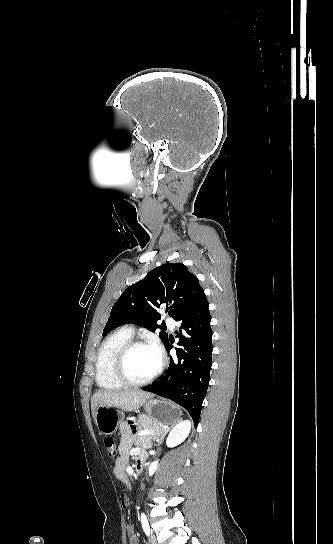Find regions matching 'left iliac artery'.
Returning a JSON list of instances; mask_svg holds the SVG:
<instances>
[{
    "mask_svg": "<svg viewBox=\"0 0 333 544\" xmlns=\"http://www.w3.org/2000/svg\"><path fill=\"white\" fill-rule=\"evenodd\" d=\"M141 524H142V528H143L145 534L149 535L150 534V527H149L148 519H147V517H146V515L144 513L141 514Z\"/></svg>",
    "mask_w": 333,
    "mask_h": 544,
    "instance_id": "obj_1",
    "label": "left iliac artery"
}]
</instances>
